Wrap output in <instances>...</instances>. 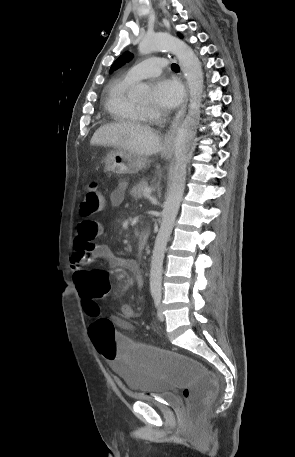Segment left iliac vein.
<instances>
[{
	"label": "left iliac vein",
	"mask_w": 295,
	"mask_h": 457,
	"mask_svg": "<svg viewBox=\"0 0 295 457\" xmlns=\"http://www.w3.org/2000/svg\"><path fill=\"white\" fill-rule=\"evenodd\" d=\"M157 317L160 321H164L165 320V316L163 314V311H162V308L161 306L158 307V310H157Z\"/></svg>",
	"instance_id": "obj_1"
}]
</instances>
